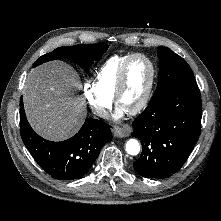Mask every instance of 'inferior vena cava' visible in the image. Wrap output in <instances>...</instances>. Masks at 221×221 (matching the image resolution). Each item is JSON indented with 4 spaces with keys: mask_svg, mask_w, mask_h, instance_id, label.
<instances>
[{
    "mask_svg": "<svg viewBox=\"0 0 221 221\" xmlns=\"http://www.w3.org/2000/svg\"><path fill=\"white\" fill-rule=\"evenodd\" d=\"M94 114H96L97 116L101 117V118H105L107 117V111L105 109L102 108H98L94 111Z\"/></svg>",
    "mask_w": 221,
    "mask_h": 221,
    "instance_id": "obj_1",
    "label": "inferior vena cava"
}]
</instances>
